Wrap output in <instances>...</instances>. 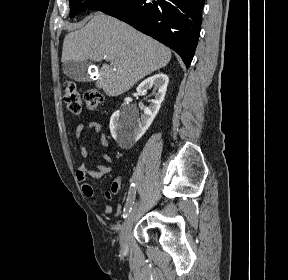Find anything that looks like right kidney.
<instances>
[{"instance_id": "ca27d5eb", "label": "right kidney", "mask_w": 288, "mask_h": 280, "mask_svg": "<svg viewBox=\"0 0 288 280\" xmlns=\"http://www.w3.org/2000/svg\"><path fill=\"white\" fill-rule=\"evenodd\" d=\"M168 83V76L163 73H158L145 79L138 85L137 93L139 95H144L148 89L154 86V99L151 101L149 107H141L144 112L141 119L136 118L132 113L124 116L120 113H115L111 117V135L119 146L125 149L130 148L144 135L161 107ZM131 101L132 98H125L124 105H129Z\"/></svg>"}]
</instances>
